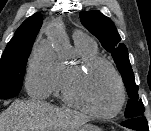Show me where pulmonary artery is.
<instances>
[{
	"instance_id": "1",
	"label": "pulmonary artery",
	"mask_w": 151,
	"mask_h": 131,
	"mask_svg": "<svg viewBox=\"0 0 151 131\" xmlns=\"http://www.w3.org/2000/svg\"><path fill=\"white\" fill-rule=\"evenodd\" d=\"M73 37H74L75 40H89V41H93L91 37H89L87 34L81 32V31L74 32Z\"/></svg>"
}]
</instances>
